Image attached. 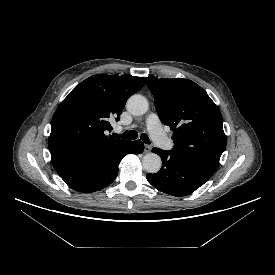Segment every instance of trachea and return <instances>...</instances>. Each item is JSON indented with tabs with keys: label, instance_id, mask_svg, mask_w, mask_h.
Listing matches in <instances>:
<instances>
[{
	"label": "trachea",
	"instance_id": "trachea-1",
	"mask_svg": "<svg viewBox=\"0 0 275 275\" xmlns=\"http://www.w3.org/2000/svg\"><path fill=\"white\" fill-rule=\"evenodd\" d=\"M137 136H138V133L136 131H133V130L125 131L124 133H122L120 135L119 134H114V137L129 139V140H134V139L137 138ZM140 139L146 144L151 143L150 140H149V137L145 133L141 134Z\"/></svg>",
	"mask_w": 275,
	"mask_h": 275
}]
</instances>
